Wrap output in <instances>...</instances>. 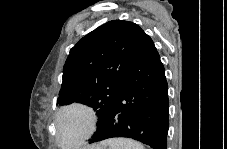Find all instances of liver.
Masks as SVG:
<instances>
[{
	"label": "liver",
	"mask_w": 227,
	"mask_h": 149,
	"mask_svg": "<svg viewBox=\"0 0 227 149\" xmlns=\"http://www.w3.org/2000/svg\"><path fill=\"white\" fill-rule=\"evenodd\" d=\"M95 147L99 148V147H102V146H92V148H95Z\"/></svg>",
	"instance_id": "1"
}]
</instances>
